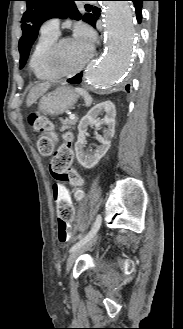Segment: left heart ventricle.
I'll return each mask as SVG.
<instances>
[{"label": "left heart ventricle", "mask_w": 183, "mask_h": 329, "mask_svg": "<svg viewBox=\"0 0 183 329\" xmlns=\"http://www.w3.org/2000/svg\"><path fill=\"white\" fill-rule=\"evenodd\" d=\"M89 50L78 45L73 39L65 41L60 50L57 67L60 71H70L84 63Z\"/></svg>", "instance_id": "b2bd125f"}]
</instances>
